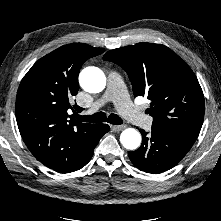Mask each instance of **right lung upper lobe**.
<instances>
[{
	"mask_svg": "<svg viewBox=\"0 0 221 221\" xmlns=\"http://www.w3.org/2000/svg\"><path fill=\"white\" fill-rule=\"evenodd\" d=\"M103 52L82 43L61 46L38 60L20 83L15 105L18 128L28 149L48 168L74 161L95 136L99 124L76 121L74 115L82 108L69 100L78 92L83 63Z\"/></svg>",
	"mask_w": 221,
	"mask_h": 221,
	"instance_id": "1",
	"label": "right lung upper lobe"
}]
</instances>
